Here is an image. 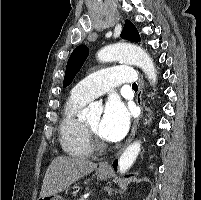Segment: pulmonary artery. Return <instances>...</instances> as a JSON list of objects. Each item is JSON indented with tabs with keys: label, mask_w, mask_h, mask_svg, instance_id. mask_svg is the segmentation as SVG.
<instances>
[{
	"label": "pulmonary artery",
	"mask_w": 201,
	"mask_h": 200,
	"mask_svg": "<svg viewBox=\"0 0 201 200\" xmlns=\"http://www.w3.org/2000/svg\"><path fill=\"white\" fill-rule=\"evenodd\" d=\"M136 80L137 76L130 66H115L87 76L75 85L72 94L90 101L121 83L133 84Z\"/></svg>",
	"instance_id": "1"
}]
</instances>
